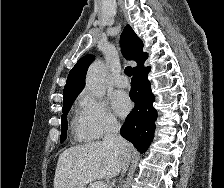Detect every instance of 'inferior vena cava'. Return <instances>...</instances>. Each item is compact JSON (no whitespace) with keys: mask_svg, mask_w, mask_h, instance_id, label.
<instances>
[{"mask_svg":"<svg viewBox=\"0 0 224 188\" xmlns=\"http://www.w3.org/2000/svg\"><path fill=\"white\" fill-rule=\"evenodd\" d=\"M103 143L105 145L117 148L121 152L122 155L121 174H124L127 171L129 165L131 151L129 143H127L120 136V124L118 123L117 120L111 119L108 121Z\"/></svg>","mask_w":224,"mask_h":188,"instance_id":"obj_1","label":"inferior vena cava"}]
</instances>
